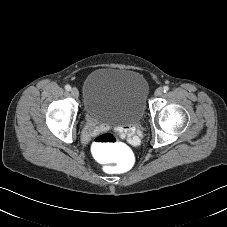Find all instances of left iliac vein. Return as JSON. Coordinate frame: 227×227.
<instances>
[{
    "label": "left iliac vein",
    "mask_w": 227,
    "mask_h": 227,
    "mask_svg": "<svg viewBox=\"0 0 227 227\" xmlns=\"http://www.w3.org/2000/svg\"><path fill=\"white\" fill-rule=\"evenodd\" d=\"M163 94V89L162 88H157L155 91V96L159 97Z\"/></svg>",
    "instance_id": "4c4485c4"
}]
</instances>
